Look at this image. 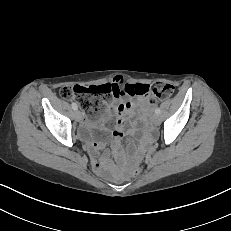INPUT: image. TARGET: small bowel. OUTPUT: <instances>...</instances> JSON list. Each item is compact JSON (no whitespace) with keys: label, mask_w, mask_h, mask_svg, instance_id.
<instances>
[{"label":"small bowel","mask_w":231,"mask_h":231,"mask_svg":"<svg viewBox=\"0 0 231 231\" xmlns=\"http://www.w3.org/2000/svg\"><path fill=\"white\" fill-rule=\"evenodd\" d=\"M113 84L117 85L120 90L121 98L115 105H109L110 108L116 113L115 119L106 122V118H102L100 123H95L92 121H87L85 126L87 130L97 131L100 130L102 136L99 139L94 140L92 143V149L94 152L101 150L105 145L106 133L111 132L114 138V147L119 148L120 141L125 135V133H133L135 126V107L138 100L131 101L129 98L135 97L136 95L131 94L127 87L134 86L131 83H125L121 76H116L113 79Z\"/></svg>","instance_id":"1"}]
</instances>
